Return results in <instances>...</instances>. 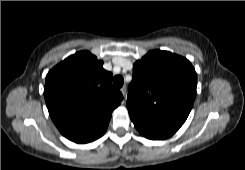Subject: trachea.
I'll use <instances>...</instances> for the list:
<instances>
[{
  "label": "trachea",
  "instance_id": "1",
  "mask_svg": "<svg viewBox=\"0 0 245 170\" xmlns=\"http://www.w3.org/2000/svg\"><path fill=\"white\" fill-rule=\"evenodd\" d=\"M124 83V78L121 75H116L113 78V84L116 88H121Z\"/></svg>",
  "mask_w": 245,
  "mask_h": 170
}]
</instances>
